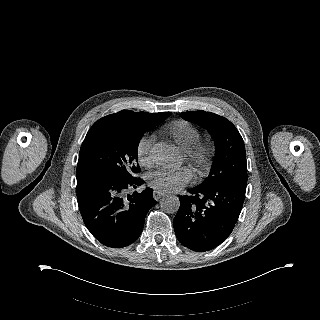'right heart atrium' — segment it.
<instances>
[{"label": "right heart atrium", "mask_w": 320, "mask_h": 320, "mask_svg": "<svg viewBox=\"0 0 320 320\" xmlns=\"http://www.w3.org/2000/svg\"><path fill=\"white\" fill-rule=\"evenodd\" d=\"M152 140L147 137H143L137 146V156L141 164H148L150 162V147Z\"/></svg>", "instance_id": "obj_1"}]
</instances>
